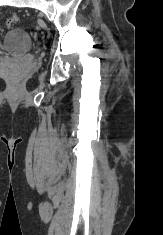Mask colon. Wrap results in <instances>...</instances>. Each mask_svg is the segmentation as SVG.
<instances>
[{
  "mask_svg": "<svg viewBox=\"0 0 163 235\" xmlns=\"http://www.w3.org/2000/svg\"><path fill=\"white\" fill-rule=\"evenodd\" d=\"M18 21H19V17L17 15H12L6 20V25L8 27L14 26L15 24L18 23Z\"/></svg>",
  "mask_w": 163,
  "mask_h": 235,
  "instance_id": "1",
  "label": "colon"
}]
</instances>
